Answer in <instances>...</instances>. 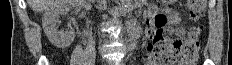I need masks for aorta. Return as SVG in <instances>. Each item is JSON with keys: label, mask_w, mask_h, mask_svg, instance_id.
Masks as SVG:
<instances>
[{"label": "aorta", "mask_w": 232, "mask_h": 65, "mask_svg": "<svg viewBox=\"0 0 232 65\" xmlns=\"http://www.w3.org/2000/svg\"><path fill=\"white\" fill-rule=\"evenodd\" d=\"M132 0H121L122 8L129 9L131 6Z\"/></svg>", "instance_id": "obj_1"}]
</instances>
